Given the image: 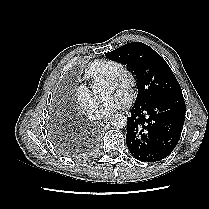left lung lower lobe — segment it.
<instances>
[{
  "instance_id": "1",
  "label": "left lung lower lobe",
  "mask_w": 209,
  "mask_h": 209,
  "mask_svg": "<svg viewBox=\"0 0 209 209\" xmlns=\"http://www.w3.org/2000/svg\"><path fill=\"white\" fill-rule=\"evenodd\" d=\"M185 121L182 92L134 105L127 121L126 144L144 162L160 161L176 147Z\"/></svg>"
}]
</instances>
